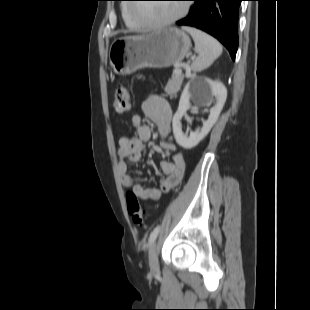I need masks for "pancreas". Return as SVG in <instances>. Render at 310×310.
I'll return each instance as SVG.
<instances>
[{"mask_svg":"<svg viewBox=\"0 0 310 310\" xmlns=\"http://www.w3.org/2000/svg\"><path fill=\"white\" fill-rule=\"evenodd\" d=\"M183 79H184V75L173 73L171 79H169L165 87L166 94L170 96L171 98L175 97L177 92L180 90Z\"/></svg>","mask_w":310,"mask_h":310,"instance_id":"cf45deb5","label":"pancreas"}]
</instances>
